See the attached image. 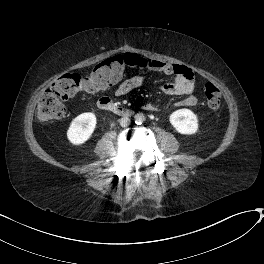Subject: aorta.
Returning a JSON list of instances; mask_svg holds the SVG:
<instances>
[{
	"instance_id": "762f6f07",
	"label": "aorta",
	"mask_w": 264,
	"mask_h": 264,
	"mask_svg": "<svg viewBox=\"0 0 264 264\" xmlns=\"http://www.w3.org/2000/svg\"><path fill=\"white\" fill-rule=\"evenodd\" d=\"M134 119L136 124H142V122L144 121V116L142 114H136L134 116Z\"/></svg>"
}]
</instances>
